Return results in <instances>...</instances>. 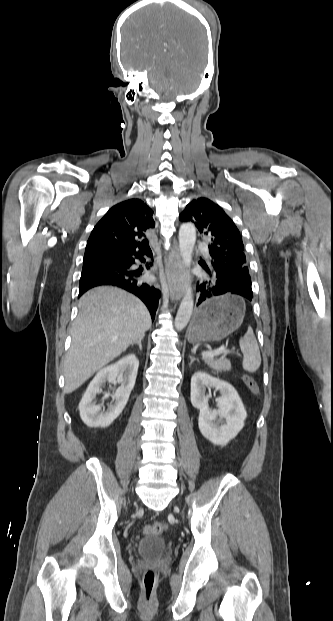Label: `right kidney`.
Wrapping results in <instances>:
<instances>
[{
  "label": "right kidney",
  "mask_w": 333,
  "mask_h": 621,
  "mask_svg": "<svg viewBox=\"0 0 333 621\" xmlns=\"http://www.w3.org/2000/svg\"><path fill=\"white\" fill-rule=\"evenodd\" d=\"M138 367L137 357L129 354L96 374L79 403L80 417L87 426L108 427L121 414L135 385ZM116 379L121 386L115 392V404L106 412H100L101 405H97L93 400L101 392V386L105 381L115 382Z\"/></svg>",
  "instance_id": "1"
}]
</instances>
